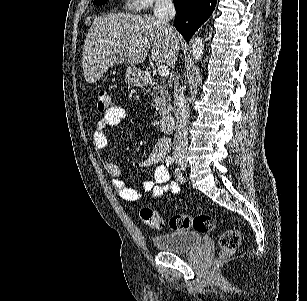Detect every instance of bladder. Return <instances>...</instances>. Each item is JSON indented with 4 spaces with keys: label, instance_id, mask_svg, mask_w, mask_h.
Segmentation results:
<instances>
[{
    "label": "bladder",
    "instance_id": "bladder-1",
    "mask_svg": "<svg viewBox=\"0 0 307 301\" xmlns=\"http://www.w3.org/2000/svg\"><path fill=\"white\" fill-rule=\"evenodd\" d=\"M202 241L203 238L199 233L186 230L153 235V244L158 251L187 252L200 246Z\"/></svg>",
    "mask_w": 307,
    "mask_h": 301
}]
</instances>
